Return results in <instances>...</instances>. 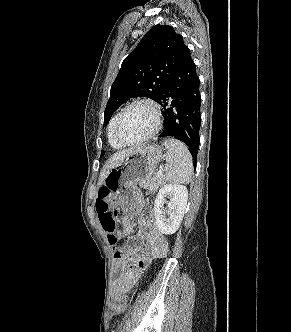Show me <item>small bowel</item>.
Instances as JSON below:
<instances>
[{"instance_id":"1","label":"small bowel","mask_w":291,"mask_h":332,"mask_svg":"<svg viewBox=\"0 0 291 332\" xmlns=\"http://www.w3.org/2000/svg\"><path fill=\"white\" fill-rule=\"evenodd\" d=\"M139 224V230L133 240L139 242L141 246L118 249V256L115 257L114 270L118 278L114 283L113 296L117 300L128 293L153 259L165 257L168 251L167 241L151 217L141 216ZM122 225L121 236L133 231V224L129 219H123Z\"/></svg>"}]
</instances>
